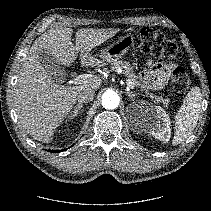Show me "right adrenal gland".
Instances as JSON below:
<instances>
[{
	"label": "right adrenal gland",
	"mask_w": 211,
	"mask_h": 211,
	"mask_svg": "<svg viewBox=\"0 0 211 211\" xmlns=\"http://www.w3.org/2000/svg\"><path fill=\"white\" fill-rule=\"evenodd\" d=\"M83 107V104H77L74 107L73 113L71 112L70 115L68 116L69 119H73L78 115L79 110H81Z\"/></svg>",
	"instance_id": "right-adrenal-gland-1"
}]
</instances>
